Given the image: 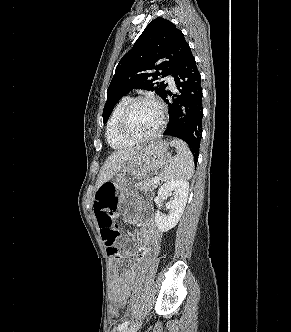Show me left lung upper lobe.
<instances>
[{
  "label": "left lung upper lobe",
  "instance_id": "obj_1",
  "mask_svg": "<svg viewBox=\"0 0 291 332\" xmlns=\"http://www.w3.org/2000/svg\"><path fill=\"white\" fill-rule=\"evenodd\" d=\"M187 45L184 34L172 22L162 17L152 20L116 67L103 121L108 120L116 103L134 88L155 91L162 97L168 84L159 77L173 75ZM199 147L197 143L192 151H198Z\"/></svg>",
  "mask_w": 291,
  "mask_h": 332
}]
</instances>
